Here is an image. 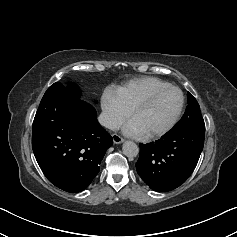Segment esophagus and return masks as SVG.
I'll return each mask as SVG.
<instances>
[{
  "label": "esophagus",
  "mask_w": 237,
  "mask_h": 237,
  "mask_svg": "<svg viewBox=\"0 0 237 237\" xmlns=\"http://www.w3.org/2000/svg\"><path fill=\"white\" fill-rule=\"evenodd\" d=\"M112 138H113V142L115 144H120V143L124 142V139L121 136H119L118 134H113Z\"/></svg>",
  "instance_id": "obj_1"
}]
</instances>
